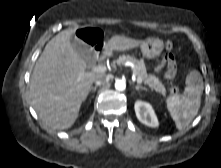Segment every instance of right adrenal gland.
<instances>
[{
    "instance_id": "2a0ac1e0",
    "label": "right adrenal gland",
    "mask_w": 221,
    "mask_h": 168,
    "mask_svg": "<svg viewBox=\"0 0 221 168\" xmlns=\"http://www.w3.org/2000/svg\"><path fill=\"white\" fill-rule=\"evenodd\" d=\"M98 86H94L90 88V91L95 92Z\"/></svg>"
}]
</instances>
